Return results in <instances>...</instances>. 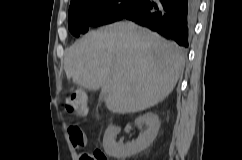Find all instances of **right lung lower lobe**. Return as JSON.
I'll list each match as a JSON object with an SVG mask.
<instances>
[{
	"mask_svg": "<svg viewBox=\"0 0 242 160\" xmlns=\"http://www.w3.org/2000/svg\"><path fill=\"white\" fill-rule=\"evenodd\" d=\"M198 9L199 0H142L122 19L132 20L188 47L187 39Z\"/></svg>",
	"mask_w": 242,
	"mask_h": 160,
	"instance_id": "1",
	"label": "right lung lower lobe"
}]
</instances>
